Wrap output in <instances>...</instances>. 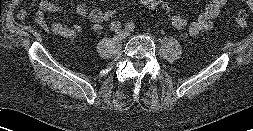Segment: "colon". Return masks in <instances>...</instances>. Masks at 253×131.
Segmentation results:
<instances>
[{"instance_id":"5ec220e1","label":"colon","mask_w":253,"mask_h":131,"mask_svg":"<svg viewBox=\"0 0 253 131\" xmlns=\"http://www.w3.org/2000/svg\"><path fill=\"white\" fill-rule=\"evenodd\" d=\"M140 3L147 6L150 9H156L158 7H166L167 3L164 0H139ZM119 11L115 7H109L103 10L104 22H111L118 17ZM248 14L245 10H237L234 13L232 24L236 29H243L247 26Z\"/></svg>"}]
</instances>
